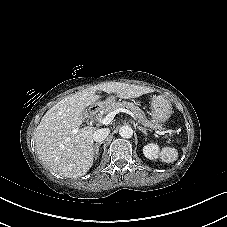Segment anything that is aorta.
Listing matches in <instances>:
<instances>
[{
	"instance_id": "obj_1",
	"label": "aorta",
	"mask_w": 227,
	"mask_h": 227,
	"mask_svg": "<svg viewBox=\"0 0 227 227\" xmlns=\"http://www.w3.org/2000/svg\"><path fill=\"white\" fill-rule=\"evenodd\" d=\"M119 134L121 137L123 138H131L133 136V129L130 127V126H122L120 129H119Z\"/></svg>"
}]
</instances>
